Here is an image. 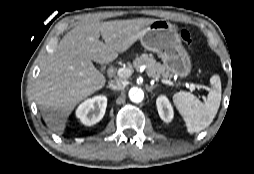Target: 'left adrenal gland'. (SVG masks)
<instances>
[{
    "label": "left adrenal gland",
    "instance_id": "left-adrenal-gland-1",
    "mask_svg": "<svg viewBox=\"0 0 254 174\" xmlns=\"http://www.w3.org/2000/svg\"><path fill=\"white\" fill-rule=\"evenodd\" d=\"M156 86H157V85H154V86H147L146 89H147L148 92H152L153 89L156 88Z\"/></svg>",
    "mask_w": 254,
    "mask_h": 174
}]
</instances>
